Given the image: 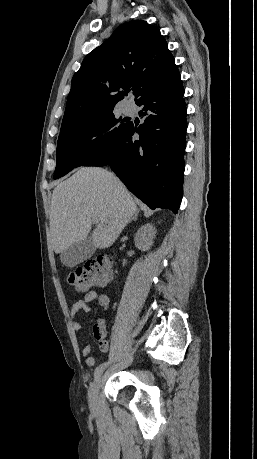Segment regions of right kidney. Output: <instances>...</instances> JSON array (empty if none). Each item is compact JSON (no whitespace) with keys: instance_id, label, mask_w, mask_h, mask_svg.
I'll return each instance as SVG.
<instances>
[{"instance_id":"ca27d5eb","label":"right kidney","mask_w":257,"mask_h":459,"mask_svg":"<svg viewBox=\"0 0 257 459\" xmlns=\"http://www.w3.org/2000/svg\"><path fill=\"white\" fill-rule=\"evenodd\" d=\"M156 230L152 224H145L136 233L135 244L139 249L149 250L153 239L155 238Z\"/></svg>"}]
</instances>
